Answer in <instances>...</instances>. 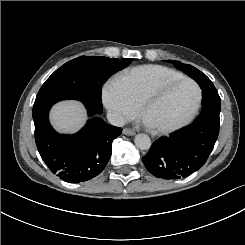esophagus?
I'll list each match as a JSON object with an SVG mask.
<instances>
[{
	"label": "esophagus",
	"instance_id": "34e87169",
	"mask_svg": "<svg viewBox=\"0 0 245 245\" xmlns=\"http://www.w3.org/2000/svg\"><path fill=\"white\" fill-rule=\"evenodd\" d=\"M122 133H123L124 135H128V136H134V135L136 134L135 131L130 130V129H123Z\"/></svg>",
	"mask_w": 245,
	"mask_h": 245
}]
</instances>
